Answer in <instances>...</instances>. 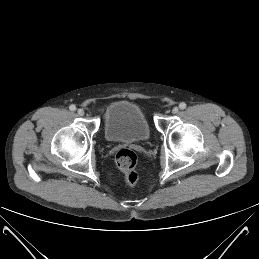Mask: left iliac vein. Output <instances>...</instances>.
Listing matches in <instances>:
<instances>
[{
	"label": "left iliac vein",
	"mask_w": 259,
	"mask_h": 259,
	"mask_svg": "<svg viewBox=\"0 0 259 259\" xmlns=\"http://www.w3.org/2000/svg\"><path fill=\"white\" fill-rule=\"evenodd\" d=\"M178 111H179L178 107H174V108L172 109V113H173V114H177Z\"/></svg>",
	"instance_id": "1"
}]
</instances>
